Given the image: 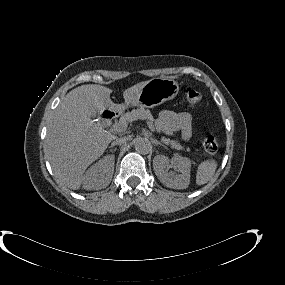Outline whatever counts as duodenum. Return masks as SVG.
I'll list each match as a JSON object with an SVG mask.
<instances>
[{"mask_svg": "<svg viewBox=\"0 0 285 285\" xmlns=\"http://www.w3.org/2000/svg\"><path fill=\"white\" fill-rule=\"evenodd\" d=\"M116 117H117L116 110H110V111L104 112L100 118L101 126L103 128L109 127Z\"/></svg>", "mask_w": 285, "mask_h": 285, "instance_id": "410a0bca", "label": "duodenum"}]
</instances>
